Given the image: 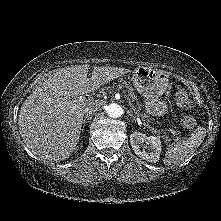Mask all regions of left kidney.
Wrapping results in <instances>:
<instances>
[{
    "instance_id": "5707ae66",
    "label": "left kidney",
    "mask_w": 221,
    "mask_h": 221,
    "mask_svg": "<svg viewBox=\"0 0 221 221\" xmlns=\"http://www.w3.org/2000/svg\"><path fill=\"white\" fill-rule=\"evenodd\" d=\"M130 143L135 154L140 158L149 162L159 161L162 150L161 140L159 137H148L143 133L134 132L130 135Z\"/></svg>"
}]
</instances>
